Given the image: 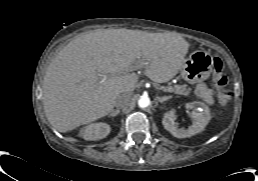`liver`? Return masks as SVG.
<instances>
[{"label":"liver","instance_id":"obj_1","mask_svg":"<svg viewBox=\"0 0 258 181\" xmlns=\"http://www.w3.org/2000/svg\"><path fill=\"white\" fill-rule=\"evenodd\" d=\"M188 48L182 37L170 33L124 28L75 38L52 60L43 79L49 123L64 133L106 116L120 94L134 91V70L143 68L150 80L165 83L181 69Z\"/></svg>","mask_w":258,"mask_h":181}]
</instances>
